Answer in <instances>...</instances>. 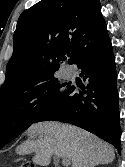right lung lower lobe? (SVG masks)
Listing matches in <instances>:
<instances>
[{
  "label": "right lung lower lobe",
  "instance_id": "98d812e1",
  "mask_svg": "<svg viewBox=\"0 0 125 167\" xmlns=\"http://www.w3.org/2000/svg\"><path fill=\"white\" fill-rule=\"evenodd\" d=\"M87 86L70 87L67 97L48 106L34 121H61L83 128L120 152L117 73L107 28L82 51L77 61Z\"/></svg>",
  "mask_w": 125,
  "mask_h": 167
}]
</instances>
